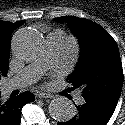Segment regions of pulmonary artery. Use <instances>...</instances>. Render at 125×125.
Listing matches in <instances>:
<instances>
[{
  "label": "pulmonary artery",
  "instance_id": "1",
  "mask_svg": "<svg viewBox=\"0 0 125 125\" xmlns=\"http://www.w3.org/2000/svg\"><path fill=\"white\" fill-rule=\"evenodd\" d=\"M66 46V36L63 31L57 30L48 33L40 56L14 77L7 80L3 85L4 90L9 92L37 82L45 70L60 65ZM76 102L78 104L84 103L80 94L76 96Z\"/></svg>",
  "mask_w": 125,
  "mask_h": 125
}]
</instances>
